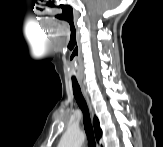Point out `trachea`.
<instances>
[{
	"label": "trachea",
	"instance_id": "1",
	"mask_svg": "<svg viewBox=\"0 0 163 147\" xmlns=\"http://www.w3.org/2000/svg\"><path fill=\"white\" fill-rule=\"evenodd\" d=\"M72 87H73V94H74V97L76 99V102L83 112L84 128H85V132L87 135L89 146L90 147H96L89 109H88L86 101H85V99L81 93V89L79 87L78 82L73 80L72 81Z\"/></svg>",
	"mask_w": 163,
	"mask_h": 147
}]
</instances>
